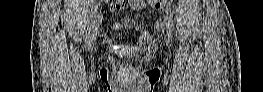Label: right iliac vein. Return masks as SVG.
Instances as JSON below:
<instances>
[{
	"instance_id": "1",
	"label": "right iliac vein",
	"mask_w": 263,
	"mask_h": 92,
	"mask_svg": "<svg viewBox=\"0 0 263 92\" xmlns=\"http://www.w3.org/2000/svg\"><path fill=\"white\" fill-rule=\"evenodd\" d=\"M100 20H101V19H100ZM100 20L97 21V22H98L97 28H96L94 34L91 36L90 44H89L90 47H92V46L94 45L95 41H96V36H97V34H98V27H99V21H100Z\"/></svg>"
}]
</instances>
